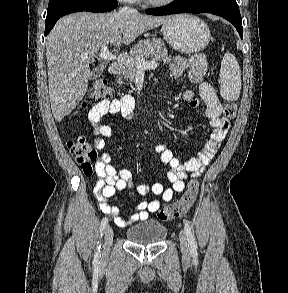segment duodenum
<instances>
[{"instance_id": "duodenum-1", "label": "duodenum", "mask_w": 288, "mask_h": 293, "mask_svg": "<svg viewBox=\"0 0 288 293\" xmlns=\"http://www.w3.org/2000/svg\"><path fill=\"white\" fill-rule=\"evenodd\" d=\"M120 70H121V64H120V62H118V61L112 62V63L109 65V69H108V71H109V73H110L111 75H116V74H118V73L120 72Z\"/></svg>"}]
</instances>
